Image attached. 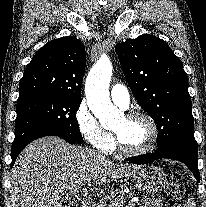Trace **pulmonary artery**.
<instances>
[{"instance_id": "1", "label": "pulmonary artery", "mask_w": 206, "mask_h": 207, "mask_svg": "<svg viewBox=\"0 0 206 207\" xmlns=\"http://www.w3.org/2000/svg\"><path fill=\"white\" fill-rule=\"evenodd\" d=\"M110 95L112 101L115 104L123 108H126L128 106L130 100V94L125 86L121 84H115L111 89Z\"/></svg>"}]
</instances>
